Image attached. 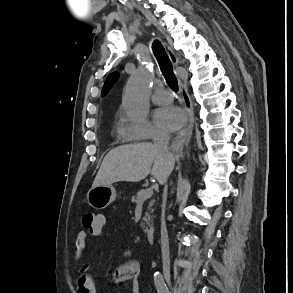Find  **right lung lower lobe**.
<instances>
[{"instance_id":"98d812e1","label":"right lung lower lobe","mask_w":293,"mask_h":293,"mask_svg":"<svg viewBox=\"0 0 293 293\" xmlns=\"http://www.w3.org/2000/svg\"><path fill=\"white\" fill-rule=\"evenodd\" d=\"M185 98H186V102H187V104H188V103H189V102H188V99H187V97H186V96H185Z\"/></svg>"}]
</instances>
